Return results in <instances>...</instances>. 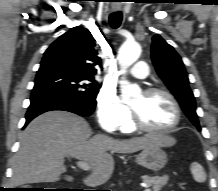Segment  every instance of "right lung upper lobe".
I'll use <instances>...</instances> for the list:
<instances>
[{
	"mask_svg": "<svg viewBox=\"0 0 218 191\" xmlns=\"http://www.w3.org/2000/svg\"><path fill=\"white\" fill-rule=\"evenodd\" d=\"M95 45L94 38L88 29L74 27L49 46L43 59L62 62L94 78L97 73L95 66L101 63Z\"/></svg>",
	"mask_w": 218,
	"mask_h": 191,
	"instance_id": "1",
	"label": "right lung upper lobe"
}]
</instances>
